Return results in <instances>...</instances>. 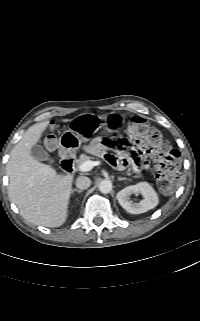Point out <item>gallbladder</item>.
<instances>
[{
    "label": "gallbladder",
    "instance_id": "1",
    "mask_svg": "<svg viewBox=\"0 0 200 321\" xmlns=\"http://www.w3.org/2000/svg\"><path fill=\"white\" fill-rule=\"evenodd\" d=\"M31 155L38 161H46L50 159L48 152L40 145H34L32 147Z\"/></svg>",
    "mask_w": 200,
    "mask_h": 321
}]
</instances>
